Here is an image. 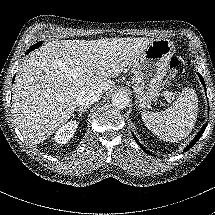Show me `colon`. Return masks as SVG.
<instances>
[{
	"label": "colon",
	"mask_w": 215,
	"mask_h": 215,
	"mask_svg": "<svg viewBox=\"0 0 215 215\" xmlns=\"http://www.w3.org/2000/svg\"><path fill=\"white\" fill-rule=\"evenodd\" d=\"M179 64V58L177 56H172L170 59V67H177Z\"/></svg>",
	"instance_id": "colon-1"
}]
</instances>
